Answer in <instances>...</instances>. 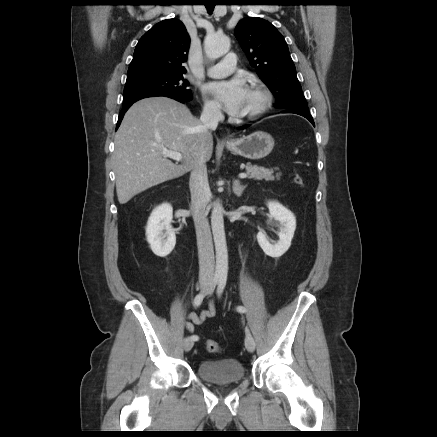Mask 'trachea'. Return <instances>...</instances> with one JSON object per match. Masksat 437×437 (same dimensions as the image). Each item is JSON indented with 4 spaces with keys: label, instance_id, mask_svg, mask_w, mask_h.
Masks as SVG:
<instances>
[{
    "label": "trachea",
    "instance_id": "3493384b",
    "mask_svg": "<svg viewBox=\"0 0 437 437\" xmlns=\"http://www.w3.org/2000/svg\"><path fill=\"white\" fill-rule=\"evenodd\" d=\"M214 7H215L214 5H206V8H207L209 14L212 13V11L214 10Z\"/></svg>",
    "mask_w": 437,
    "mask_h": 437
}]
</instances>
